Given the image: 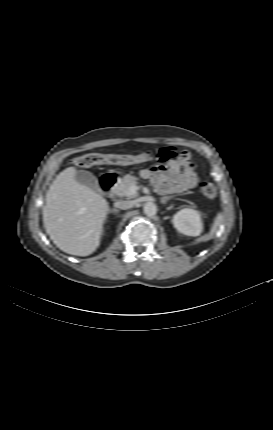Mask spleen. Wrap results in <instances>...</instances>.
Returning a JSON list of instances; mask_svg holds the SVG:
<instances>
[{
  "label": "spleen",
  "instance_id": "1",
  "mask_svg": "<svg viewBox=\"0 0 273 430\" xmlns=\"http://www.w3.org/2000/svg\"><path fill=\"white\" fill-rule=\"evenodd\" d=\"M223 220H224L223 215L221 213H219L215 218V221L213 224V230L218 228L220 226V224L223 222Z\"/></svg>",
  "mask_w": 273,
  "mask_h": 430
}]
</instances>
